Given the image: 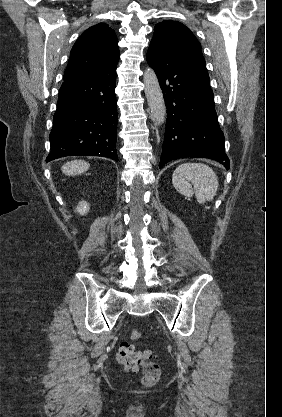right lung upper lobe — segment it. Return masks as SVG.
Returning a JSON list of instances; mask_svg holds the SVG:
<instances>
[{
  "mask_svg": "<svg viewBox=\"0 0 282 417\" xmlns=\"http://www.w3.org/2000/svg\"><path fill=\"white\" fill-rule=\"evenodd\" d=\"M119 55L114 30L105 23L96 24L84 31L74 44L63 79H75L114 66Z\"/></svg>",
  "mask_w": 282,
  "mask_h": 417,
  "instance_id": "obj_1",
  "label": "right lung upper lobe"
}]
</instances>
